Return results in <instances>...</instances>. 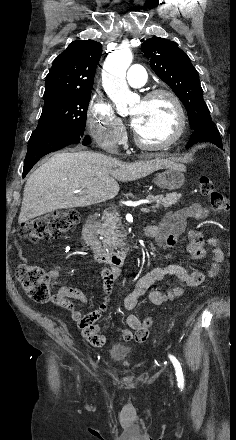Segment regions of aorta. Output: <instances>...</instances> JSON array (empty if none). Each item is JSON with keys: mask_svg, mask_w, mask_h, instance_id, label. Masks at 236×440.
I'll return each instance as SVG.
<instances>
[{"mask_svg": "<svg viewBox=\"0 0 236 440\" xmlns=\"http://www.w3.org/2000/svg\"><path fill=\"white\" fill-rule=\"evenodd\" d=\"M132 60L131 50L126 46H122L111 53L103 65V87L120 113L127 110V106L136 99L126 82V71Z\"/></svg>", "mask_w": 236, "mask_h": 440, "instance_id": "1", "label": "aorta"}]
</instances>
